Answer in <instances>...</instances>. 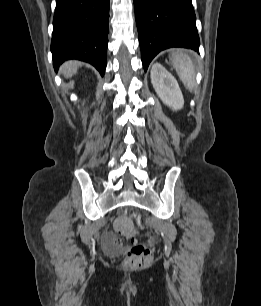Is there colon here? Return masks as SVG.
<instances>
[{
  "instance_id": "obj_1",
  "label": "colon",
  "mask_w": 261,
  "mask_h": 306,
  "mask_svg": "<svg viewBox=\"0 0 261 306\" xmlns=\"http://www.w3.org/2000/svg\"><path fill=\"white\" fill-rule=\"evenodd\" d=\"M116 229L121 236H124L130 243V248L124 254V264L132 268L146 266L151 258L152 252L149 248L136 244L133 240L135 232L134 224L128 217H121L116 221ZM115 246H121L120 239L114 241Z\"/></svg>"
}]
</instances>
